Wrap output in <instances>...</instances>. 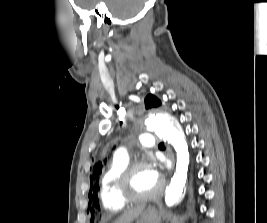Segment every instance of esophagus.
<instances>
[{"instance_id":"esophagus-1","label":"esophagus","mask_w":267,"mask_h":223,"mask_svg":"<svg viewBox=\"0 0 267 223\" xmlns=\"http://www.w3.org/2000/svg\"><path fill=\"white\" fill-rule=\"evenodd\" d=\"M169 158L172 161V164L174 165L175 158H174V154L172 153V151H169Z\"/></svg>"}]
</instances>
